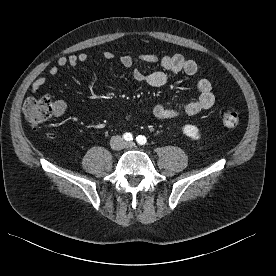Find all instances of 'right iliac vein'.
Segmentation results:
<instances>
[{
    "mask_svg": "<svg viewBox=\"0 0 276 276\" xmlns=\"http://www.w3.org/2000/svg\"><path fill=\"white\" fill-rule=\"evenodd\" d=\"M121 143L122 142H121L120 138L116 137L112 142V146H113V148L118 149V148H120Z\"/></svg>",
    "mask_w": 276,
    "mask_h": 276,
    "instance_id": "obj_1",
    "label": "right iliac vein"
}]
</instances>
